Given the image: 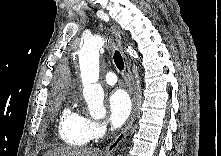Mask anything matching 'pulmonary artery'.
Wrapping results in <instances>:
<instances>
[{
	"mask_svg": "<svg viewBox=\"0 0 221 156\" xmlns=\"http://www.w3.org/2000/svg\"><path fill=\"white\" fill-rule=\"evenodd\" d=\"M105 81L107 84L109 85H114L116 82H117V77L115 75V73L113 72H108L106 75H105Z\"/></svg>",
	"mask_w": 221,
	"mask_h": 156,
	"instance_id": "pulmonary-artery-1",
	"label": "pulmonary artery"
}]
</instances>
